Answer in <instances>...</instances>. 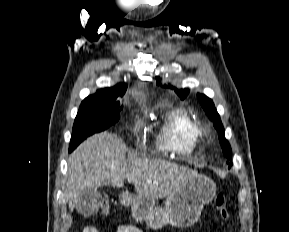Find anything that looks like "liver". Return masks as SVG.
<instances>
[{
	"label": "liver",
	"mask_w": 289,
	"mask_h": 232,
	"mask_svg": "<svg viewBox=\"0 0 289 232\" xmlns=\"http://www.w3.org/2000/svg\"><path fill=\"white\" fill-rule=\"evenodd\" d=\"M124 141L109 132L95 134L83 141L68 159L67 198L76 208L79 197L100 186L122 188L133 179L139 196L149 199L167 197L197 173L162 159L129 157Z\"/></svg>",
	"instance_id": "obj_1"
}]
</instances>
